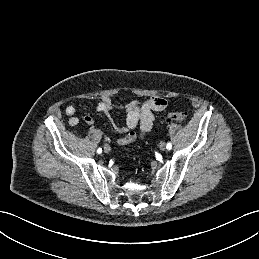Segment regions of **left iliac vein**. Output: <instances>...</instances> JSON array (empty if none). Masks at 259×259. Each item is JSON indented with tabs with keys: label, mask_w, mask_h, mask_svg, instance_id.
Wrapping results in <instances>:
<instances>
[{
	"label": "left iliac vein",
	"mask_w": 259,
	"mask_h": 259,
	"mask_svg": "<svg viewBox=\"0 0 259 259\" xmlns=\"http://www.w3.org/2000/svg\"><path fill=\"white\" fill-rule=\"evenodd\" d=\"M159 148H160V150H165V148H166V144H165V142H160V144H159Z\"/></svg>",
	"instance_id": "obj_1"
}]
</instances>
